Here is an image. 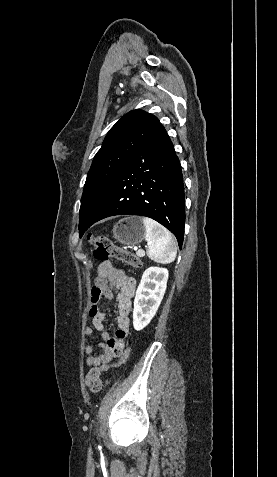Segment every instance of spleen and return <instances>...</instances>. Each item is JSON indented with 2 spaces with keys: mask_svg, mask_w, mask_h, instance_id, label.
Here are the masks:
<instances>
[{
  "mask_svg": "<svg viewBox=\"0 0 277 477\" xmlns=\"http://www.w3.org/2000/svg\"><path fill=\"white\" fill-rule=\"evenodd\" d=\"M145 240L148 244L147 256L161 264H168L175 260L177 245L171 233L156 221L144 217Z\"/></svg>",
  "mask_w": 277,
  "mask_h": 477,
  "instance_id": "3e777b00",
  "label": "spleen"
}]
</instances>
